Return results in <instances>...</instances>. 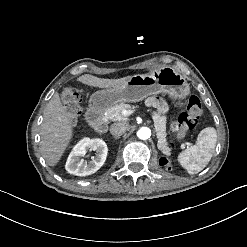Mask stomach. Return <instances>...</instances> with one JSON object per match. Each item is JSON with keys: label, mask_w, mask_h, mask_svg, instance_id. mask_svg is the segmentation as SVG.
Here are the masks:
<instances>
[{"label": "stomach", "mask_w": 247, "mask_h": 247, "mask_svg": "<svg viewBox=\"0 0 247 247\" xmlns=\"http://www.w3.org/2000/svg\"><path fill=\"white\" fill-rule=\"evenodd\" d=\"M159 93L184 98L189 93V84L174 68L160 67L149 75L128 77L119 87L99 90L91 96L90 101L94 109L105 111L117 104L139 102Z\"/></svg>", "instance_id": "0dacf381"}]
</instances>
